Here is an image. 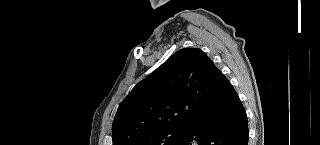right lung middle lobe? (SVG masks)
Returning a JSON list of instances; mask_svg holds the SVG:
<instances>
[{
    "mask_svg": "<svg viewBox=\"0 0 320 145\" xmlns=\"http://www.w3.org/2000/svg\"><path fill=\"white\" fill-rule=\"evenodd\" d=\"M185 128H168L150 133L130 145H174L184 133Z\"/></svg>",
    "mask_w": 320,
    "mask_h": 145,
    "instance_id": "1",
    "label": "right lung middle lobe"
}]
</instances>
